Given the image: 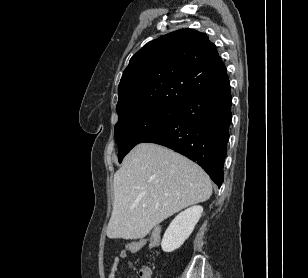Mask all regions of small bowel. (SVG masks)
<instances>
[{
	"label": "small bowel",
	"mask_w": 308,
	"mask_h": 278,
	"mask_svg": "<svg viewBox=\"0 0 308 278\" xmlns=\"http://www.w3.org/2000/svg\"><path fill=\"white\" fill-rule=\"evenodd\" d=\"M139 251V250H138ZM128 253L127 250H121L119 254L114 258L113 264L111 266V269L109 271L108 278H117V272L120 270L121 266V260L125 259L127 257ZM139 277L140 278H151L152 272L151 269L147 266L142 267L138 271Z\"/></svg>",
	"instance_id": "c3829d8e"
}]
</instances>
